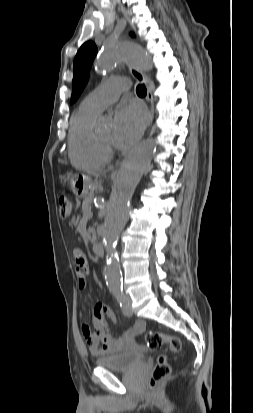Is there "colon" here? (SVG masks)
<instances>
[{"label":"colon","mask_w":253,"mask_h":413,"mask_svg":"<svg viewBox=\"0 0 253 413\" xmlns=\"http://www.w3.org/2000/svg\"><path fill=\"white\" fill-rule=\"evenodd\" d=\"M59 213L62 219H69L72 214V205L70 200L61 196L59 199ZM147 347L151 350H158L166 346L171 353H177L181 349V341L178 337L162 332L149 331L145 334ZM171 373V365L167 356L162 354L152 371L149 381L150 390H154L166 377Z\"/></svg>","instance_id":"5ec220e1"}]
</instances>
